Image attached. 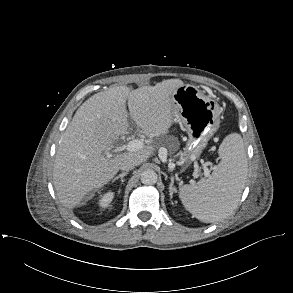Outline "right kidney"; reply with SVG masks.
<instances>
[{"label": "right kidney", "instance_id": "1", "mask_svg": "<svg viewBox=\"0 0 293 293\" xmlns=\"http://www.w3.org/2000/svg\"><path fill=\"white\" fill-rule=\"evenodd\" d=\"M114 198V193L113 192H107L104 195H101V198L99 200V206L102 208H106L110 205Z\"/></svg>", "mask_w": 293, "mask_h": 293}]
</instances>
